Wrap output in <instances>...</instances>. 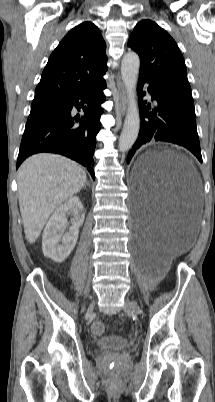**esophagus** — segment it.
<instances>
[{
    "label": "esophagus",
    "mask_w": 215,
    "mask_h": 402,
    "mask_svg": "<svg viewBox=\"0 0 215 402\" xmlns=\"http://www.w3.org/2000/svg\"><path fill=\"white\" fill-rule=\"evenodd\" d=\"M117 88L119 94V111L123 116L126 112V106H127V91L120 80H118L117 82Z\"/></svg>",
    "instance_id": "1"
}]
</instances>
